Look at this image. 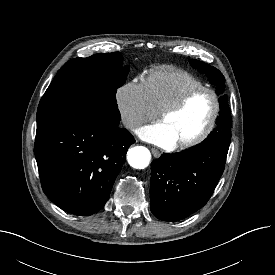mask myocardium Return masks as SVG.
<instances>
[{"label": "myocardium", "mask_w": 275, "mask_h": 275, "mask_svg": "<svg viewBox=\"0 0 275 275\" xmlns=\"http://www.w3.org/2000/svg\"><path fill=\"white\" fill-rule=\"evenodd\" d=\"M201 92H206L209 93L213 99V111L211 113V116L204 127V129L195 137L182 141L179 143H176L175 147L179 149H187L194 147L201 142H203L212 132V130L215 127V124L217 122L219 113H220V99L218 93L209 87L206 86H201V87H196L193 89L188 90L185 92L182 96H180L176 101H174L172 104L168 105L167 107L163 108L161 111H159L158 118L160 120L164 119L166 116L171 115L173 113L178 112L181 110L186 103L195 95L201 93Z\"/></svg>", "instance_id": "1"}]
</instances>
